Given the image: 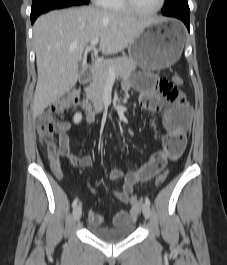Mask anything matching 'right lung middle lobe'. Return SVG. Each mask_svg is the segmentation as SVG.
Masks as SVG:
<instances>
[{
  "label": "right lung middle lobe",
  "mask_w": 227,
  "mask_h": 265,
  "mask_svg": "<svg viewBox=\"0 0 227 265\" xmlns=\"http://www.w3.org/2000/svg\"><path fill=\"white\" fill-rule=\"evenodd\" d=\"M68 3L88 4L89 0H33L31 16H39L42 13Z\"/></svg>",
  "instance_id": "obj_1"
}]
</instances>
